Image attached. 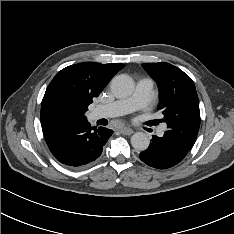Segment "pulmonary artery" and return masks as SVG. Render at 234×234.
<instances>
[{
	"label": "pulmonary artery",
	"instance_id": "obj_1",
	"mask_svg": "<svg viewBox=\"0 0 234 234\" xmlns=\"http://www.w3.org/2000/svg\"><path fill=\"white\" fill-rule=\"evenodd\" d=\"M153 87L154 83L151 79H141L137 83L136 90L132 96L108 105L98 106L91 114L92 119L116 117L146 106L151 99ZM164 131L165 127H160L157 133L159 136H162Z\"/></svg>",
	"mask_w": 234,
	"mask_h": 234
}]
</instances>
